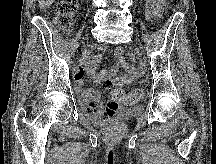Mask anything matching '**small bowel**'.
<instances>
[{"instance_id":"c3829d8e","label":"small bowel","mask_w":216,"mask_h":164,"mask_svg":"<svg viewBox=\"0 0 216 164\" xmlns=\"http://www.w3.org/2000/svg\"><path fill=\"white\" fill-rule=\"evenodd\" d=\"M161 4L162 0H148L149 16L154 17L158 15L161 9ZM116 56L118 58V62L122 65L126 72L123 76L118 75L116 70L113 72H108L106 70L99 72L95 71V66L100 59L99 55L86 59L83 65L74 72L76 90L81 104L86 112L92 117L108 118L112 116L118 108V103L111 99L105 106L100 100L101 95L98 91L94 89H86L84 87L86 83L85 74L98 82L109 81L113 86L131 83L137 76L136 68L123 59V51L121 48L116 50Z\"/></svg>"}]
</instances>
